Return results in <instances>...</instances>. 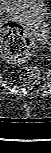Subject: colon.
I'll use <instances>...</instances> for the list:
<instances>
[{
	"mask_svg": "<svg viewBox=\"0 0 51 153\" xmlns=\"http://www.w3.org/2000/svg\"><path fill=\"white\" fill-rule=\"evenodd\" d=\"M34 49V40L26 29L16 22H7L2 26L1 55L13 63H23ZM39 66L22 68L18 72L21 80L29 81L38 77Z\"/></svg>",
	"mask_w": 51,
	"mask_h": 153,
	"instance_id": "colon-1",
	"label": "colon"
}]
</instances>
